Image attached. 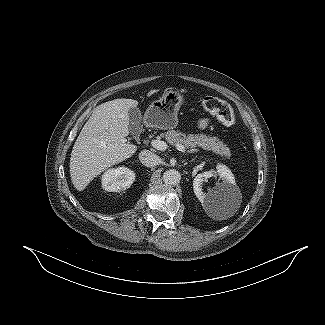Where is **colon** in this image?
Here are the masks:
<instances>
[{
    "instance_id": "1",
    "label": "colon",
    "mask_w": 325,
    "mask_h": 325,
    "mask_svg": "<svg viewBox=\"0 0 325 325\" xmlns=\"http://www.w3.org/2000/svg\"><path fill=\"white\" fill-rule=\"evenodd\" d=\"M202 106L205 110L214 114L224 126L231 127L235 124V112L230 104L224 100L214 96H206L202 100Z\"/></svg>"
}]
</instances>
